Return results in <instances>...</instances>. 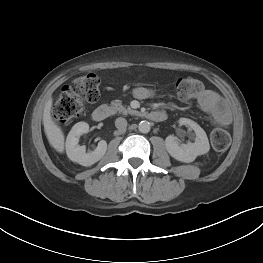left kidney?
Wrapping results in <instances>:
<instances>
[{
    "label": "left kidney",
    "instance_id": "1",
    "mask_svg": "<svg viewBox=\"0 0 263 263\" xmlns=\"http://www.w3.org/2000/svg\"><path fill=\"white\" fill-rule=\"evenodd\" d=\"M181 125H187L194 130L196 134L194 143L180 144L177 137L170 135L165 139V146L168 153L178 161L189 163L193 162L199 155L206 154L209 149V141L205 131L194 121L181 118Z\"/></svg>",
    "mask_w": 263,
    "mask_h": 263
}]
</instances>
